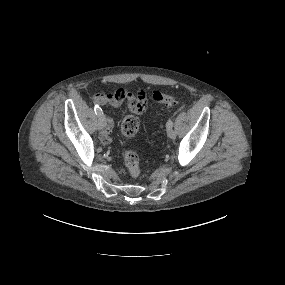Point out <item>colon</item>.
I'll use <instances>...</instances> for the list:
<instances>
[{
  "mask_svg": "<svg viewBox=\"0 0 285 285\" xmlns=\"http://www.w3.org/2000/svg\"><path fill=\"white\" fill-rule=\"evenodd\" d=\"M152 97L154 101L165 107H175L180 104V100L176 96L168 93L155 91ZM139 127L140 120L135 115H128L121 122V132L126 137L134 136L138 132ZM124 163L133 176L140 174L139 157L134 151H125Z\"/></svg>",
  "mask_w": 285,
  "mask_h": 285,
  "instance_id": "1",
  "label": "colon"
}]
</instances>
